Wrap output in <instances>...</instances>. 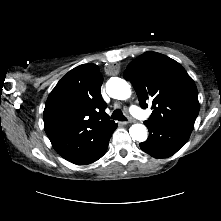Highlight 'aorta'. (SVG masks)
I'll use <instances>...</instances> for the list:
<instances>
[{
	"label": "aorta",
	"instance_id": "1",
	"mask_svg": "<svg viewBox=\"0 0 221 221\" xmlns=\"http://www.w3.org/2000/svg\"><path fill=\"white\" fill-rule=\"evenodd\" d=\"M108 95L114 99L126 100L131 96L130 85L121 78L112 77L106 84ZM130 136L133 140L144 142L147 139V128L143 124H133L129 129Z\"/></svg>",
	"mask_w": 221,
	"mask_h": 221
}]
</instances>
